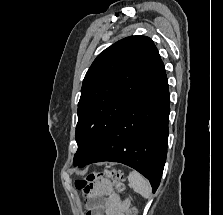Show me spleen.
<instances>
[{"label": "spleen", "instance_id": "1", "mask_svg": "<svg viewBox=\"0 0 223 215\" xmlns=\"http://www.w3.org/2000/svg\"><path fill=\"white\" fill-rule=\"evenodd\" d=\"M128 179L134 191H137V193H141L143 197H149L151 187L147 179H144L143 175H140L138 171H130Z\"/></svg>", "mask_w": 223, "mask_h": 215}]
</instances>
